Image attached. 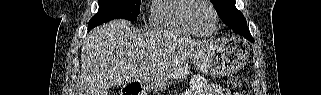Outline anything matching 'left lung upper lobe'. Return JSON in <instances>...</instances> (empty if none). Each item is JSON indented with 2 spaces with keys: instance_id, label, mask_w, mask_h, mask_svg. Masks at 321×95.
<instances>
[{
  "instance_id": "1",
  "label": "left lung upper lobe",
  "mask_w": 321,
  "mask_h": 95,
  "mask_svg": "<svg viewBox=\"0 0 321 95\" xmlns=\"http://www.w3.org/2000/svg\"><path fill=\"white\" fill-rule=\"evenodd\" d=\"M217 10L220 19L236 34L248 29L243 14L236 9L235 0H210Z\"/></svg>"
}]
</instances>
